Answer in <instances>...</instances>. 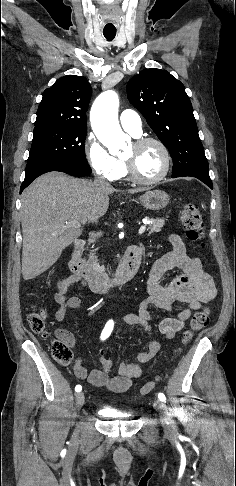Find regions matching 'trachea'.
I'll use <instances>...</instances> for the list:
<instances>
[{"label":"trachea","instance_id":"obj_1","mask_svg":"<svg viewBox=\"0 0 236 486\" xmlns=\"http://www.w3.org/2000/svg\"><path fill=\"white\" fill-rule=\"evenodd\" d=\"M103 34L108 41H112L115 38L116 30H103Z\"/></svg>","mask_w":236,"mask_h":486}]
</instances>
